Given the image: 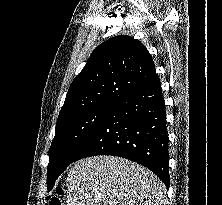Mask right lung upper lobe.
Here are the masks:
<instances>
[{
    "label": "right lung upper lobe",
    "mask_w": 222,
    "mask_h": 205,
    "mask_svg": "<svg viewBox=\"0 0 222 205\" xmlns=\"http://www.w3.org/2000/svg\"><path fill=\"white\" fill-rule=\"evenodd\" d=\"M157 77L141 42L124 35L113 37L92 52L72 82L57 121L96 105L119 102Z\"/></svg>",
    "instance_id": "cb5924a9"
}]
</instances>
